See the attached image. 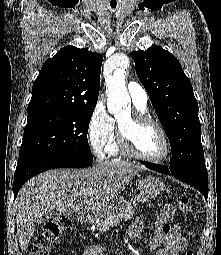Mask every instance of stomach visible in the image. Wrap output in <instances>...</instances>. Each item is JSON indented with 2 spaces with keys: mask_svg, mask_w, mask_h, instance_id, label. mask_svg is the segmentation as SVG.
I'll use <instances>...</instances> for the list:
<instances>
[{
  "mask_svg": "<svg viewBox=\"0 0 221 255\" xmlns=\"http://www.w3.org/2000/svg\"><path fill=\"white\" fill-rule=\"evenodd\" d=\"M138 189L140 190L141 200L145 201L149 198L157 197L161 192L165 190V185L158 178L147 176L146 178L139 181ZM123 205V198H116L100 211V217L105 216L107 212H120L123 209Z\"/></svg>",
  "mask_w": 221,
  "mask_h": 255,
  "instance_id": "obj_1",
  "label": "stomach"
}]
</instances>
